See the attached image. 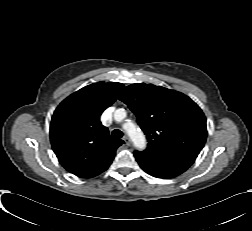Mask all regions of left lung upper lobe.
<instances>
[{
    "label": "left lung upper lobe",
    "instance_id": "5c2ea615",
    "mask_svg": "<svg viewBox=\"0 0 252 231\" xmlns=\"http://www.w3.org/2000/svg\"><path fill=\"white\" fill-rule=\"evenodd\" d=\"M147 136L144 153L196 159L207 138L206 118L188 96L152 84H132L120 94Z\"/></svg>",
    "mask_w": 252,
    "mask_h": 231
}]
</instances>
